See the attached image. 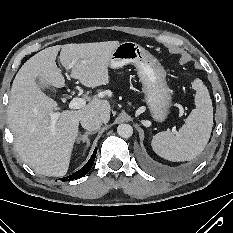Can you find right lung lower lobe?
<instances>
[{"label": "right lung lower lobe", "mask_w": 233, "mask_h": 233, "mask_svg": "<svg viewBox=\"0 0 233 233\" xmlns=\"http://www.w3.org/2000/svg\"><path fill=\"white\" fill-rule=\"evenodd\" d=\"M95 157H96V149L94 150L90 160L87 162V164L85 166H83L75 174H72L70 176L62 178L61 180L69 181V180H74V179H77V178H80V177H83L84 175H86L90 171V169L92 168Z\"/></svg>", "instance_id": "obj_1"}]
</instances>
